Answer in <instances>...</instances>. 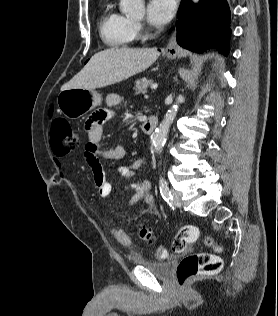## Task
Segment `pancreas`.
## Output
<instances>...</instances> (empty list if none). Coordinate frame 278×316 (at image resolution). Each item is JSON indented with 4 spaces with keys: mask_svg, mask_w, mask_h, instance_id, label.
Returning a JSON list of instances; mask_svg holds the SVG:
<instances>
[{
    "mask_svg": "<svg viewBox=\"0 0 278 316\" xmlns=\"http://www.w3.org/2000/svg\"><path fill=\"white\" fill-rule=\"evenodd\" d=\"M153 81L152 80H148L147 78H142V79H138L135 82V94L139 95V94H144L147 92V88L152 85Z\"/></svg>",
    "mask_w": 278,
    "mask_h": 316,
    "instance_id": "cf45deb5",
    "label": "pancreas"
}]
</instances>
